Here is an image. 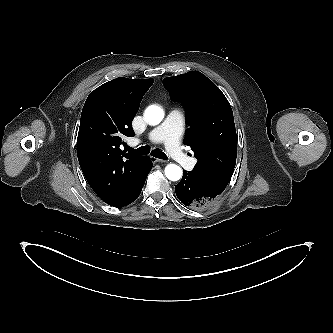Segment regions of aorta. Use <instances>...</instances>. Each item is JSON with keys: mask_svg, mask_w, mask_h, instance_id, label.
<instances>
[{"mask_svg": "<svg viewBox=\"0 0 333 333\" xmlns=\"http://www.w3.org/2000/svg\"><path fill=\"white\" fill-rule=\"evenodd\" d=\"M145 120L150 125L159 124L164 118V111L162 108L156 105H150L145 110ZM183 171L180 166L176 164H168L165 167V175L171 181H178L182 177Z\"/></svg>", "mask_w": 333, "mask_h": 333, "instance_id": "1", "label": "aorta"}]
</instances>
